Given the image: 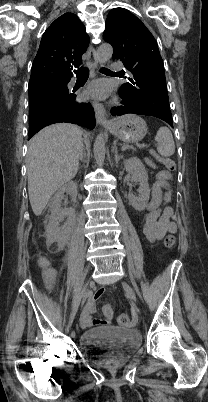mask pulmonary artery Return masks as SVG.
Listing matches in <instances>:
<instances>
[{
    "instance_id": "pulmonary-artery-1",
    "label": "pulmonary artery",
    "mask_w": 208,
    "mask_h": 402,
    "mask_svg": "<svg viewBox=\"0 0 208 402\" xmlns=\"http://www.w3.org/2000/svg\"><path fill=\"white\" fill-rule=\"evenodd\" d=\"M112 69H113L114 71H116V72H117V71H120V70H121V65H120V64H117V63H116V64L114 63V65L112 66Z\"/></svg>"
}]
</instances>
